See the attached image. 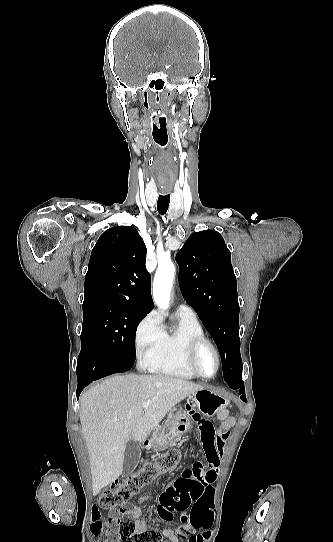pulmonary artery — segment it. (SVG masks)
I'll return each instance as SVG.
<instances>
[{
  "mask_svg": "<svg viewBox=\"0 0 333 542\" xmlns=\"http://www.w3.org/2000/svg\"><path fill=\"white\" fill-rule=\"evenodd\" d=\"M176 313H178V314H180L182 316H185L187 318H190V319H196L197 318L196 312L187 303H180L177 310H176Z\"/></svg>",
  "mask_w": 333,
  "mask_h": 542,
  "instance_id": "pulmonary-artery-1",
  "label": "pulmonary artery"
}]
</instances>
